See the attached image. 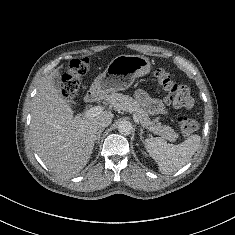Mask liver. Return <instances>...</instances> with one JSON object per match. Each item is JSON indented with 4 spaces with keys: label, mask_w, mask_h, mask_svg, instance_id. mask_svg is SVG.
Segmentation results:
<instances>
[{
    "label": "liver",
    "mask_w": 235,
    "mask_h": 235,
    "mask_svg": "<svg viewBox=\"0 0 235 235\" xmlns=\"http://www.w3.org/2000/svg\"><path fill=\"white\" fill-rule=\"evenodd\" d=\"M55 71L42 80L33 98L31 136L44 164L62 176L79 173L88 163L97 135V123L113 118L111 111L95 117L73 116L69 102L54 83Z\"/></svg>",
    "instance_id": "6515ba94"
}]
</instances>
